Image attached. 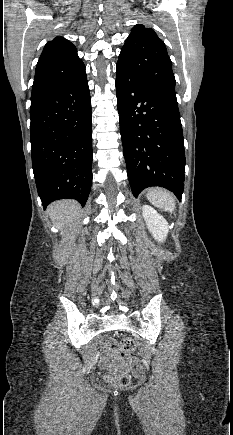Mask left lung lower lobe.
<instances>
[{"mask_svg": "<svg viewBox=\"0 0 233 435\" xmlns=\"http://www.w3.org/2000/svg\"><path fill=\"white\" fill-rule=\"evenodd\" d=\"M117 106L127 175L135 197L161 186L181 200L185 152L176 95L154 89L117 65Z\"/></svg>", "mask_w": 233, "mask_h": 435, "instance_id": "0a47b994", "label": "left lung lower lobe"}]
</instances>
